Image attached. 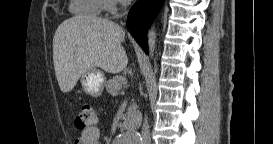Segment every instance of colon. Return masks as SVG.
<instances>
[{"label":"colon","instance_id":"colon-1","mask_svg":"<svg viewBox=\"0 0 273 144\" xmlns=\"http://www.w3.org/2000/svg\"><path fill=\"white\" fill-rule=\"evenodd\" d=\"M98 121L99 116L94 106L90 103L82 104L75 119V125L77 129L85 130L93 128L97 125Z\"/></svg>","mask_w":273,"mask_h":144}]
</instances>
